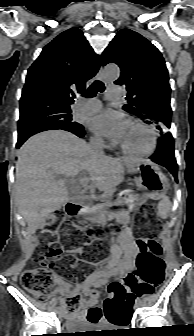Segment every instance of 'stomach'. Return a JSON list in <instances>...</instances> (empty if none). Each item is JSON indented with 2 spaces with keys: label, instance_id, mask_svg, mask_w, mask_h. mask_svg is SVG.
Wrapping results in <instances>:
<instances>
[{
  "label": "stomach",
  "instance_id": "0dacf381",
  "mask_svg": "<svg viewBox=\"0 0 194 336\" xmlns=\"http://www.w3.org/2000/svg\"><path fill=\"white\" fill-rule=\"evenodd\" d=\"M126 168L130 173L139 174L135 179L136 185L139 190L144 192L142 195L133 191L125 193L124 200L127 204L136 208L146 199L158 200L164 197L168 189V181L153 163L141 159Z\"/></svg>",
  "mask_w": 194,
  "mask_h": 336
}]
</instances>
